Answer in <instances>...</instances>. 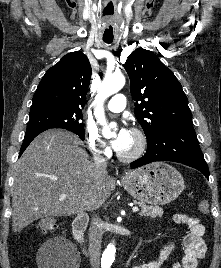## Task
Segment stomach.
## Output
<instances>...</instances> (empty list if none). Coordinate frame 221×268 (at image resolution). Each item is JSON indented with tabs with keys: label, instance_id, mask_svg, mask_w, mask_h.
<instances>
[{
	"label": "stomach",
	"instance_id": "stomach-1",
	"mask_svg": "<svg viewBox=\"0 0 221 268\" xmlns=\"http://www.w3.org/2000/svg\"><path fill=\"white\" fill-rule=\"evenodd\" d=\"M122 183L135 199L154 206L174 201L185 187L180 172L163 162L126 172Z\"/></svg>",
	"mask_w": 221,
	"mask_h": 268
}]
</instances>
